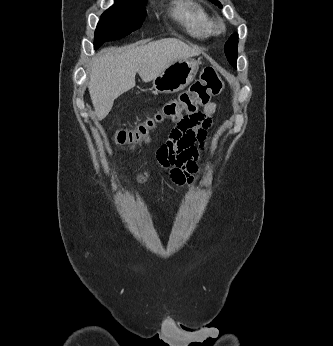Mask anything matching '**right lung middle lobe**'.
<instances>
[{
  "instance_id": "dd1d6c3e",
  "label": "right lung middle lobe",
  "mask_w": 333,
  "mask_h": 346,
  "mask_svg": "<svg viewBox=\"0 0 333 346\" xmlns=\"http://www.w3.org/2000/svg\"><path fill=\"white\" fill-rule=\"evenodd\" d=\"M145 4V0H115L97 25L95 49L104 42L121 39L140 28L146 15Z\"/></svg>"
}]
</instances>
